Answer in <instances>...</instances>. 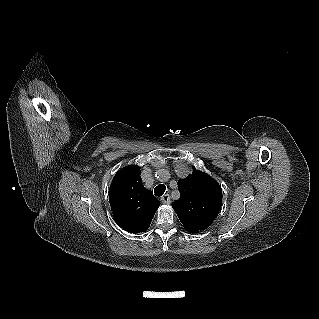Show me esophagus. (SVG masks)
Listing matches in <instances>:
<instances>
[{"label": "esophagus", "mask_w": 319, "mask_h": 319, "mask_svg": "<svg viewBox=\"0 0 319 319\" xmlns=\"http://www.w3.org/2000/svg\"><path fill=\"white\" fill-rule=\"evenodd\" d=\"M161 202L163 204H169L170 203V196L169 194H165L161 197Z\"/></svg>", "instance_id": "34e87169"}]
</instances>
